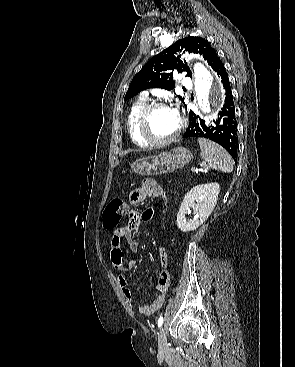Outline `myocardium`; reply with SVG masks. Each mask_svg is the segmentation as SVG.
<instances>
[{"label":"myocardium","mask_w":295,"mask_h":367,"mask_svg":"<svg viewBox=\"0 0 295 367\" xmlns=\"http://www.w3.org/2000/svg\"><path fill=\"white\" fill-rule=\"evenodd\" d=\"M158 108H170L168 104L162 101H154L148 103L144 106L141 110L138 120H137V130L140 137L147 142L149 145L152 146H164L174 142L181 134L183 130L184 122L178 116V128L170 137L165 139H157L150 134L149 131V118L152 112Z\"/></svg>","instance_id":"f54148a6"}]
</instances>
